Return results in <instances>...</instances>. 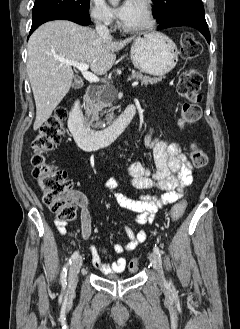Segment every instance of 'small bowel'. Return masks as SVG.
I'll use <instances>...</instances> for the list:
<instances>
[{
    "label": "small bowel",
    "instance_id": "1",
    "mask_svg": "<svg viewBox=\"0 0 240 329\" xmlns=\"http://www.w3.org/2000/svg\"><path fill=\"white\" fill-rule=\"evenodd\" d=\"M144 143L153 149L154 167L141 162H134L127 166L126 171L131 184L140 190L152 192L140 199H131L123 194L114 193L117 203L124 209L135 214L137 225H147L153 222L154 214L166 205L177 202L183 194L186 186L192 182L193 167L180 147L171 142L157 140L152 136V129H148L144 135ZM118 185L114 178L106 183V188L112 191ZM81 207V234L83 239L88 240L92 235V218L84 199L78 201ZM55 226L61 235L67 233L65 222L55 221ZM129 237L127 244H115L113 250L123 254L130 252L146 240V231L135 232L130 226H125ZM93 266L103 274L121 273L126 267L127 260L120 257L112 263L102 260L107 249L89 248Z\"/></svg>",
    "mask_w": 240,
    "mask_h": 329
}]
</instances>
